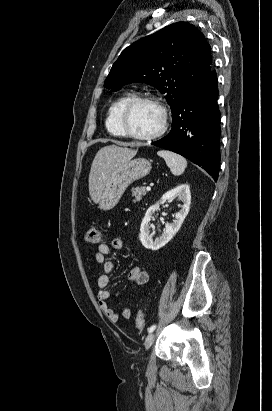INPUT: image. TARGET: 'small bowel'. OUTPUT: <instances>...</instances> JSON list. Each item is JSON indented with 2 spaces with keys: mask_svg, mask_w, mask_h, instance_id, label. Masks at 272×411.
<instances>
[{
  "mask_svg": "<svg viewBox=\"0 0 272 411\" xmlns=\"http://www.w3.org/2000/svg\"><path fill=\"white\" fill-rule=\"evenodd\" d=\"M111 247L115 250H120L123 248V241L119 238H116L112 241ZM111 247L108 244L102 243L97 248L95 256L96 261L103 267V272L100 274L97 281V297L99 306L106 317L112 322H117L120 318V314L108 304V299L110 298V291L108 288L110 284V275L114 270V261L109 258ZM128 278L130 281L134 282L137 285H144L148 283L150 275L144 268L135 266L129 271ZM121 316L124 319L130 318L131 310L128 306H125L122 309Z\"/></svg>",
  "mask_w": 272,
  "mask_h": 411,
  "instance_id": "c3829d8e",
  "label": "small bowel"
}]
</instances>
